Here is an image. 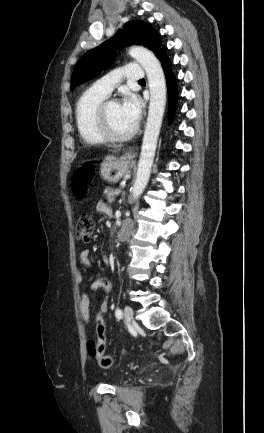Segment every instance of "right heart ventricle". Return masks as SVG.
I'll list each match as a JSON object with an SVG mask.
<instances>
[{"mask_svg":"<svg viewBox=\"0 0 264 433\" xmlns=\"http://www.w3.org/2000/svg\"><path fill=\"white\" fill-rule=\"evenodd\" d=\"M107 96L94 91L86 90L78 99L75 107V120L79 135L83 142L99 144L105 141L95 123V113L98 106Z\"/></svg>","mask_w":264,"mask_h":433,"instance_id":"right-heart-ventricle-1","label":"right heart ventricle"}]
</instances>
